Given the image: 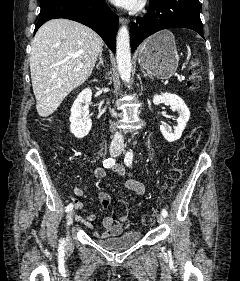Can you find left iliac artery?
<instances>
[{
    "label": "left iliac artery",
    "instance_id": "44dca946",
    "mask_svg": "<svg viewBox=\"0 0 240 281\" xmlns=\"http://www.w3.org/2000/svg\"><path fill=\"white\" fill-rule=\"evenodd\" d=\"M132 161H133V151L130 149L125 155L124 162L128 167H130V166H132ZM161 214L164 217H166L168 215L167 210L163 209Z\"/></svg>",
    "mask_w": 240,
    "mask_h": 281
}]
</instances>
